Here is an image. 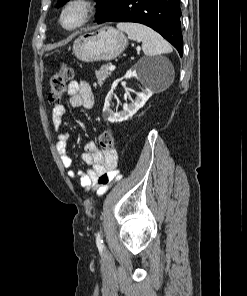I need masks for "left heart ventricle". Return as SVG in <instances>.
I'll return each instance as SVG.
<instances>
[{"mask_svg":"<svg viewBox=\"0 0 247 296\" xmlns=\"http://www.w3.org/2000/svg\"><path fill=\"white\" fill-rule=\"evenodd\" d=\"M77 13L76 12H70L66 17V23L67 24H73L77 20Z\"/></svg>","mask_w":247,"mask_h":296,"instance_id":"obj_1","label":"left heart ventricle"}]
</instances>
